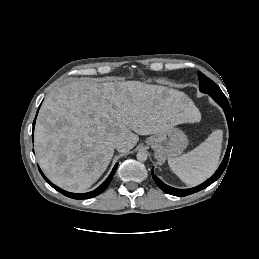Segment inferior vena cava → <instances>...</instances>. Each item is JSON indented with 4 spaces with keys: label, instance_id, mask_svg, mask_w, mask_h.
<instances>
[{
    "label": "inferior vena cava",
    "instance_id": "obj_1",
    "mask_svg": "<svg viewBox=\"0 0 259 259\" xmlns=\"http://www.w3.org/2000/svg\"><path fill=\"white\" fill-rule=\"evenodd\" d=\"M123 141L120 139H116L113 141V147L119 150L123 146Z\"/></svg>",
    "mask_w": 259,
    "mask_h": 259
}]
</instances>
